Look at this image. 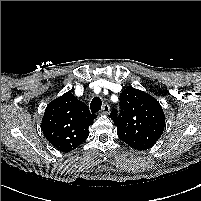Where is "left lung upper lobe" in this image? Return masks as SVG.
<instances>
[{"mask_svg":"<svg viewBox=\"0 0 201 201\" xmlns=\"http://www.w3.org/2000/svg\"><path fill=\"white\" fill-rule=\"evenodd\" d=\"M120 111L112 110L110 118L117 126L118 137L137 150L151 148L163 133L165 116L159 102L134 88L120 94Z\"/></svg>","mask_w":201,"mask_h":201,"instance_id":"5c2ea615","label":"left lung upper lobe"}]
</instances>
